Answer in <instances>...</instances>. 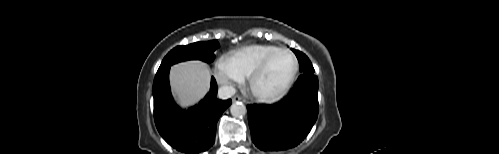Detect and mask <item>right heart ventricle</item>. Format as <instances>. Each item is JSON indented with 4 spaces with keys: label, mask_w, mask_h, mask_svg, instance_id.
Returning a JSON list of instances; mask_svg holds the SVG:
<instances>
[{
    "label": "right heart ventricle",
    "mask_w": 499,
    "mask_h": 154,
    "mask_svg": "<svg viewBox=\"0 0 499 154\" xmlns=\"http://www.w3.org/2000/svg\"><path fill=\"white\" fill-rule=\"evenodd\" d=\"M277 48L273 45H249L232 51L228 58L240 74L248 78L261 61Z\"/></svg>",
    "instance_id": "obj_1"
}]
</instances>
